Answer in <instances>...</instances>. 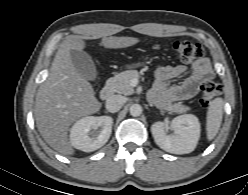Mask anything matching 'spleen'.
Masks as SVG:
<instances>
[{
    "mask_svg": "<svg viewBox=\"0 0 248 195\" xmlns=\"http://www.w3.org/2000/svg\"><path fill=\"white\" fill-rule=\"evenodd\" d=\"M224 100L222 98H215L209 103L206 119V130L208 140L214 139L217 135L223 116Z\"/></svg>",
    "mask_w": 248,
    "mask_h": 195,
    "instance_id": "obj_1",
    "label": "spleen"
}]
</instances>
